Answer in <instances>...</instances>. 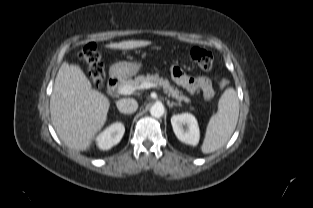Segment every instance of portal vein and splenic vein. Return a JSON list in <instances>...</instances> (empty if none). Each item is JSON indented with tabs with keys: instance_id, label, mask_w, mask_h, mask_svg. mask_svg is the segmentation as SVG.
Listing matches in <instances>:
<instances>
[{
	"instance_id": "18ae733b",
	"label": "portal vein and splenic vein",
	"mask_w": 313,
	"mask_h": 208,
	"mask_svg": "<svg viewBox=\"0 0 313 208\" xmlns=\"http://www.w3.org/2000/svg\"><path fill=\"white\" fill-rule=\"evenodd\" d=\"M149 88H158L156 84L146 82L139 86V89H149ZM135 91V88L132 86H122L118 89V93L121 95H130Z\"/></svg>"
}]
</instances>
